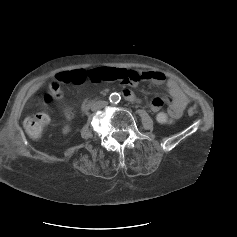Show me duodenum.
Instances as JSON below:
<instances>
[{
  "label": "duodenum",
  "instance_id": "410a0bca",
  "mask_svg": "<svg viewBox=\"0 0 237 237\" xmlns=\"http://www.w3.org/2000/svg\"><path fill=\"white\" fill-rule=\"evenodd\" d=\"M124 94H125L126 97L129 96V93H128V92H125ZM89 105H90V103H88V102H87V103H84L83 106H82V109H83V110L88 109Z\"/></svg>",
  "mask_w": 237,
  "mask_h": 237
}]
</instances>
